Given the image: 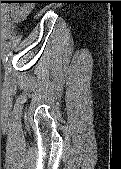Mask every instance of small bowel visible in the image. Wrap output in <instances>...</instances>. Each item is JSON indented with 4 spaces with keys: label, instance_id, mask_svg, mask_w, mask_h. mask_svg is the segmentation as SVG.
<instances>
[{
    "label": "small bowel",
    "instance_id": "small-bowel-1",
    "mask_svg": "<svg viewBox=\"0 0 121 169\" xmlns=\"http://www.w3.org/2000/svg\"><path fill=\"white\" fill-rule=\"evenodd\" d=\"M30 13V9L17 10L11 13V19L15 23H19Z\"/></svg>",
    "mask_w": 121,
    "mask_h": 169
}]
</instances>
